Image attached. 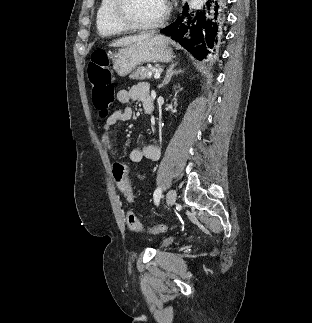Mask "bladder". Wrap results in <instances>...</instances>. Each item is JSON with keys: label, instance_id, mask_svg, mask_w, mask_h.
Instances as JSON below:
<instances>
[{"label": "bladder", "instance_id": "obj_1", "mask_svg": "<svg viewBox=\"0 0 312 323\" xmlns=\"http://www.w3.org/2000/svg\"><path fill=\"white\" fill-rule=\"evenodd\" d=\"M169 241H170V240H169L168 238L164 239V243H165V244L169 243Z\"/></svg>", "mask_w": 312, "mask_h": 323}]
</instances>
